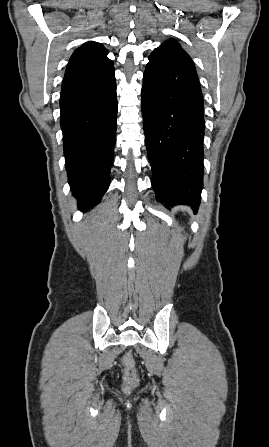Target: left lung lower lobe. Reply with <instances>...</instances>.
Returning <instances> with one entry per match:
<instances>
[{"mask_svg":"<svg viewBox=\"0 0 269 447\" xmlns=\"http://www.w3.org/2000/svg\"><path fill=\"white\" fill-rule=\"evenodd\" d=\"M145 143L156 199L197 210L203 187V96L191 58L156 49L142 87Z\"/></svg>","mask_w":269,"mask_h":447,"instance_id":"1","label":"left lung lower lobe"}]
</instances>
